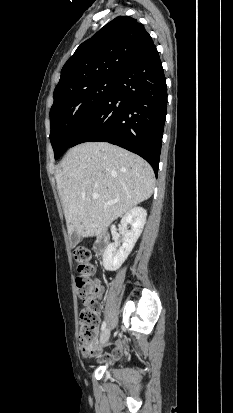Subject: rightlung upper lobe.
Masks as SVG:
<instances>
[{
	"mask_svg": "<svg viewBox=\"0 0 233 413\" xmlns=\"http://www.w3.org/2000/svg\"><path fill=\"white\" fill-rule=\"evenodd\" d=\"M153 45L151 36L136 19L115 18L83 42L67 60L54 90V100L96 80L115 78Z\"/></svg>",
	"mask_w": 233,
	"mask_h": 413,
	"instance_id": "1",
	"label": "right lung upper lobe"
}]
</instances>
